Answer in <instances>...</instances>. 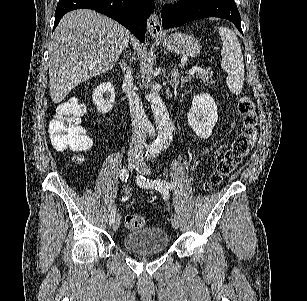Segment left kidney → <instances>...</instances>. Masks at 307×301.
Wrapping results in <instances>:
<instances>
[{
    "mask_svg": "<svg viewBox=\"0 0 307 301\" xmlns=\"http://www.w3.org/2000/svg\"><path fill=\"white\" fill-rule=\"evenodd\" d=\"M217 104L210 94L201 92L192 98V106L188 112V122L195 134L200 138H209L218 120Z\"/></svg>",
    "mask_w": 307,
    "mask_h": 301,
    "instance_id": "5707ae66",
    "label": "left kidney"
}]
</instances>
